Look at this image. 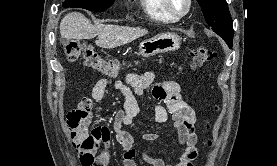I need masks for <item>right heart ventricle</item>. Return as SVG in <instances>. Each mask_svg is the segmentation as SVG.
Masks as SVG:
<instances>
[{
    "label": "right heart ventricle",
    "mask_w": 277,
    "mask_h": 166,
    "mask_svg": "<svg viewBox=\"0 0 277 166\" xmlns=\"http://www.w3.org/2000/svg\"><path fill=\"white\" fill-rule=\"evenodd\" d=\"M140 5L147 16L154 21L164 23L175 21V18L164 9L162 0H140Z\"/></svg>",
    "instance_id": "1"
}]
</instances>
